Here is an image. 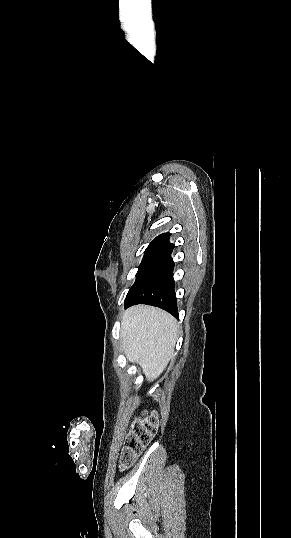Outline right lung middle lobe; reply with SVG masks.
<instances>
[{
  "instance_id": "obj_1",
  "label": "right lung middle lobe",
  "mask_w": 291,
  "mask_h": 538,
  "mask_svg": "<svg viewBox=\"0 0 291 538\" xmlns=\"http://www.w3.org/2000/svg\"><path fill=\"white\" fill-rule=\"evenodd\" d=\"M172 250L166 249H150L146 250L141 264L139 265L138 272L136 274V281L128 291L125 298V304L130 300L132 294L137 287L150 275V273L168 256H170Z\"/></svg>"
}]
</instances>
